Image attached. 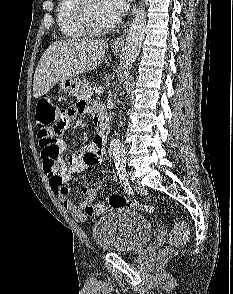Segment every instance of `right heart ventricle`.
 Here are the masks:
<instances>
[{
    "label": "right heart ventricle",
    "mask_w": 233,
    "mask_h": 294,
    "mask_svg": "<svg viewBox=\"0 0 233 294\" xmlns=\"http://www.w3.org/2000/svg\"><path fill=\"white\" fill-rule=\"evenodd\" d=\"M80 0H60L57 8V24L61 33L70 39H81L89 34L78 19Z\"/></svg>",
    "instance_id": "obj_1"
}]
</instances>
